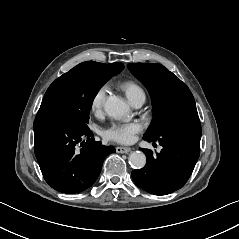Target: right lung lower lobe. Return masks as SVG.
<instances>
[{
    "mask_svg": "<svg viewBox=\"0 0 239 239\" xmlns=\"http://www.w3.org/2000/svg\"><path fill=\"white\" fill-rule=\"evenodd\" d=\"M33 126L35 155L44 179L65 194L80 193L91 187L104 159L115 152L113 146L96 142L89 127L80 128L62 117L35 119Z\"/></svg>",
    "mask_w": 239,
    "mask_h": 239,
    "instance_id": "right-lung-lower-lobe-1",
    "label": "right lung lower lobe"
}]
</instances>
